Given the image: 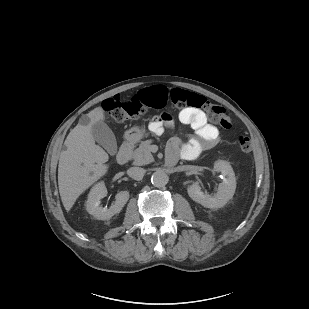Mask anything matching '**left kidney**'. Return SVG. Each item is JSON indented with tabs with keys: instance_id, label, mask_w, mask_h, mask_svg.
Returning a JSON list of instances; mask_svg holds the SVG:
<instances>
[{
	"instance_id": "obj_1",
	"label": "left kidney",
	"mask_w": 309,
	"mask_h": 309,
	"mask_svg": "<svg viewBox=\"0 0 309 309\" xmlns=\"http://www.w3.org/2000/svg\"><path fill=\"white\" fill-rule=\"evenodd\" d=\"M213 172H221L223 182L219 184L214 196L201 191L198 182L193 183L187 189L189 197L206 208H221L233 198L236 189V178L231 165L223 160L214 163Z\"/></svg>"
}]
</instances>
